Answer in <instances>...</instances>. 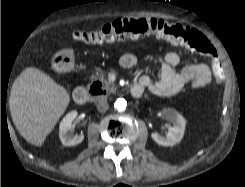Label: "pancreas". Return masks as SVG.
<instances>
[{
  "instance_id": "pancreas-1",
  "label": "pancreas",
  "mask_w": 245,
  "mask_h": 187,
  "mask_svg": "<svg viewBox=\"0 0 245 187\" xmlns=\"http://www.w3.org/2000/svg\"><path fill=\"white\" fill-rule=\"evenodd\" d=\"M91 80L100 81L103 84V89L106 90L107 93H114L117 90L115 84L105 79L103 73L97 74L96 76H92Z\"/></svg>"
}]
</instances>
